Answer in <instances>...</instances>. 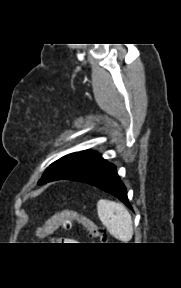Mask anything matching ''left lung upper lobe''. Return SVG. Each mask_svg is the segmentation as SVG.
Masks as SVG:
<instances>
[{
    "instance_id": "1",
    "label": "left lung upper lobe",
    "mask_w": 181,
    "mask_h": 288,
    "mask_svg": "<svg viewBox=\"0 0 181 288\" xmlns=\"http://www.w3.org/2000/svg\"><path fill=\"white\" fill-rule=\"evenodd\" d=\"M107 161L100 153L84 150L63 156L51 164L38 184H44L55 180H75L92 174Z\"/></svg>"
}]
</instances>
